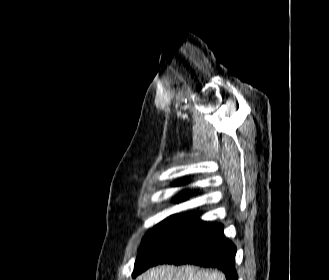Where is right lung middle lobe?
I'll return each mask as SVG.
<instances>
[{
    "label": "right lung middle lobe",
    "instance_id": "dd1d6c3e",
    "mask_svg": "<svg viewBox=\"0 0 329 280\" xmlns=\"http://www.w3.org/2000/svg\"><path fill=\"white\" fill-rule=\"evenodd\" d=\"M184 200L186 199H175L176 202ZM193 220L194 218L190 215L175 214L151 229L143 238L133 277L146 270Z\"/></svg>",
    "mask_w": 329,
    "mask_h": 280
}]
</instances>
